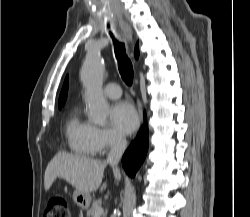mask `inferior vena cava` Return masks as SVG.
<instances>
[{
    "label": "inferior vena cava",
    "instance_id": "inferior-vena-cava-1",
    "mask_svg": "<svg viewBox=\"0 0 250 217\" xmlns=\"http://www.w3.org/2000/svg\"><path fill=\"white\" fill-rule=\"evenodd\" d=\"M126 146H127V141L123 136L121 135L114 136L111 144V150L106 159V163H109L112 166L114 175L116 176L120 175L117 166L126 149Z\"/></svg>",
    "mask_w": 250,
    "mask_h": 217
}]
</instances>
